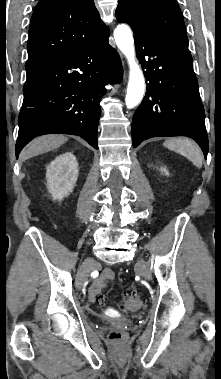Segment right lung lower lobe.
<instances>
[{
    "mask_svg": "<svg viewBox=\"0 0 221 379\" xmlns=\"http://www.w3.org/2000/svg\"><path fill=\"white\" fill-rule=\"evenodd\" d=\"M109 29L70 51L26 66L16 157L34 137L77 135L97 146L100 101L105 85L119 83L123 70L109 43Z\"/></svg>",
    "mask_w": 221,
    "mask_h": 379,
    "instance_id": "98d812e1",
    "label": "right lung lower lobe"
}]
</instances>
